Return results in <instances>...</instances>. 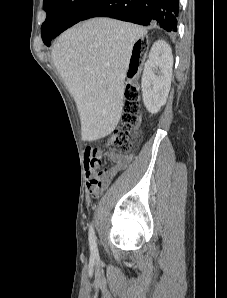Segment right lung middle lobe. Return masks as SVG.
<instances>
[{"mask_svg":"<svg viewBox=\"0 0 227 298\" xmlns=\"http://www.w3.org/2000/svg\"><path fill=\"white\" fill-rule=\"evenodd\" d=\"M100 0H44L43 9L47 13L41 27L43 42L48 46L58 30H66L92 9Z\"/></svg>","mask_w":227,"mask_h":298,"instance_id":"dd1d6c3e","label":"right lung middle lobe"}]
</instances>
